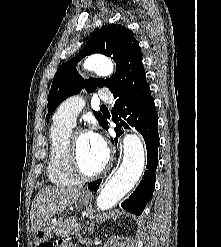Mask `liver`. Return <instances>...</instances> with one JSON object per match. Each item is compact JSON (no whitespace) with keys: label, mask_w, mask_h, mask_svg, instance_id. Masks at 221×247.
I'll return each instance as SVG.
<instances>
[{"label":"liver","mask_w":221,"mask_h":247,"mask_svg":"<svg viewBox=\"0 0 221 247\" xmlns=\"http://www.w3.org/2000/svg\"><path fill=\"white\" fill-rule=\"evenodd\" d=\"M81 193L78 188H42L32 204L31 227L34 231L55 214L74 204Z\"/></svg>","instance_id":"obj_1"}]
</instances>
